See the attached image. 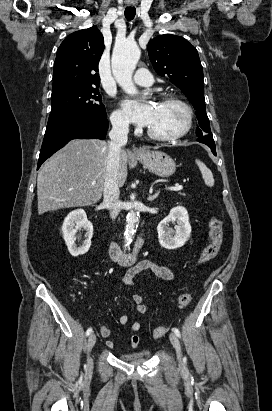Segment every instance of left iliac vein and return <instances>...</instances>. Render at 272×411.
<instances>
[{
    "mask_svg": "<svg viewBox=\"0 0 272 411\" xmlns=\"http://www.w3.org/2000/svg\"><path fill=\"white\" fill-rule=\"evenodd\" d=\"M169 339H170L171 344L173 345V347L176 350L177 358H178L179 362H181L182 361L181 346H180V342H179L176 334L170 333L169 334Z\"/></svg>",
    "mask_w": 272,
    "mask_h": 411,
    "instance_id": "left-iliac-vein-1",
    "label": "left iliac vein"
}]
</instances>
